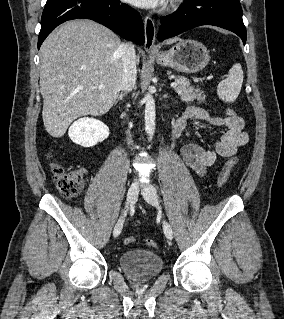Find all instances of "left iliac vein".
Here are the masks:
<instances>
[{
  "label": "left iliac vein",
  "instance_id": "left-iliac-vein-1",
  "mask_svg": "<svg viewBox=\"0 0 284 319\" xmlns=\"http://www.w3.org/2000/svg\"><path fill=\"white\" fill-rule=\"evenodd\" d=\"M143 197L150 205L158 207L159 203L156 189L152 185L148 184L146 186V188L143 191ZM163 231L168 240L173 239V230L167 221H163Z\"/></svg>",
  "mask_w": 284,
  "mask_h": 319
}]
</instances>
